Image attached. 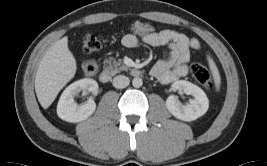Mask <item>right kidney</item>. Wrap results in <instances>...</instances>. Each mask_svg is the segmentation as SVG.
Masks as SVG:
<instances>
[{"mask_svg": "<svg viewBox=\"0 0 267 166\" xmlns=\"http://www.w3.org/2000/svg\"><path fill=\"white\" fill-rule=\"evenodd\" d=\"M81 91L92 92L94 95L98 93V83L90 78H84L70 84L62 93L58 105V116L67 122L77 123L90 117L95 109L96 104L92 98L86 102L78 104L74 97Z\"/></svg>", "mask_w": 267, "mask_h": 166, "instance_id": "1", "label": "right kidney"}]
</instances>
